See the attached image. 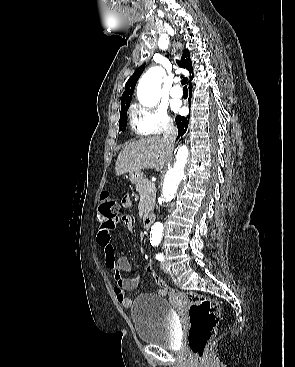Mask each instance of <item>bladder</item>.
Listing matches in <instances>:
<instances>
[{"label": "bladder", "mask_w": 295, "mask_h": 367, "mask_svg": "<svg viewBox=\"0 0 295 367\" xmlns=\"http://www.w3.org/2000/svg\"><path fill=\"white\" fill-rule=\"evenodd\" d=\"M131 318L142 342L166 349L175 346L177 327L172 307L164 297L153 293L139 295L131 305Z\"/></svg>", "instance_id": "bladder-1"}]
</instances>
